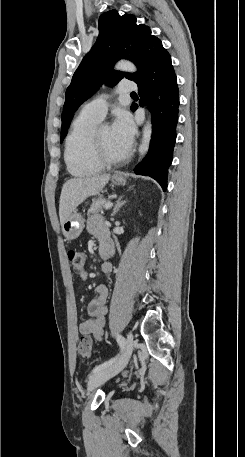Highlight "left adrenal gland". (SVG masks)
I'll return each instance as SVG.
<instances>
[{
  "instance_id": "a2214340",
  "label": "left adrenal gland",
  "mask_w": 245,
  "mask_h": 457,
  "mask_svg": "<svg viewBox=\"0 0 245 457\" xmlns=\"http://www.w3.org/2000/svg\"><path fill=\"white\" fill-rule=\"evenodd\" d=\"M121 198H122V196H119L118 200H116L111 216H114V214H116V212H118V210H120L121 206H123V204H125L126 200H121Z\"/></svg>"
}]
</instances>
